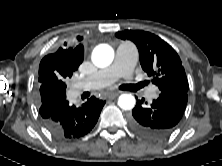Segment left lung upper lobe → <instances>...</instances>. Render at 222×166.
<instances>
[{
	"label": "left lung upper lobe",
	"mask_w": 222,
	"mask_h": 166,
	"mask_svg": "<svg viewBox=\"0 0 222 166\" xmlns=\"http://www.w3.org/2000/svg\"><path fill=\"white\" fill-rule=\"evenodd\" d=\"M115 35L136 44L141 66L148 76H153L152 82L159 90H188V81L180 57L164 40L142 30H124Z\"/></svg>",
	"instance_id": "left-lung-upper-lobe-1"
}]
</instances>
